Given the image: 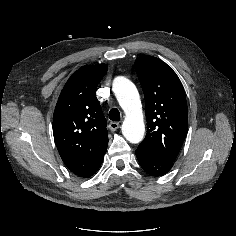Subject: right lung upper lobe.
<instances>
[{
    "mask_svg": "<svg viewBox=\"0 0 236 236\" xmlns=\"http://www.w3.org/2000/svg\"><path fill=\"white\" fill-rule=\"evenodd\" d=\"M105 64L79 68L66 82L53 115V135L65 165L80 177L100 167L108 145L106 119L96 98Z\"/></svg>",
    "mask_w": 236,
    "mask_h": 236,
    "instance_id": "obj_1",
    "label": "right lung upper lobe"
}]
</instances>
